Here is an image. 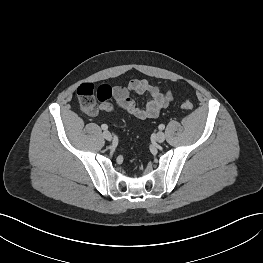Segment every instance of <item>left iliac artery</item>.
<instances>
[{"label": "left iliac artery", "instance_id": "1", "mask_svg": "<svg viewBox=\"0 0 263 263\" xmlns=\"http://www.w3.org/2000/svg\"><path fill=\"white\" fill-rule=\"evenodd\" d=\"M158 128H159L160 130H163V129L165 128V125L160 124Z\"/></svg>", "mask_w": 263, "mask_h": 263}]
</instances>
